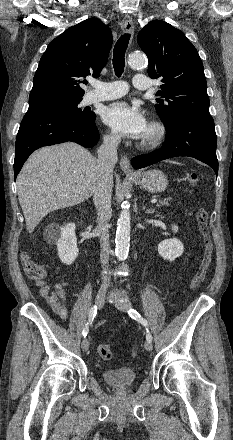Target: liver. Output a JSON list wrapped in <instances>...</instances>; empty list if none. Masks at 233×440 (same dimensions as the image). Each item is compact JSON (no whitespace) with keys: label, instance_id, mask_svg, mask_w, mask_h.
I'll return each mask as SVG.
<instances>
[{"label":"liver","instance_id":"obj_1","mask_svg":"<svg viewBox=\"0 0 233 440\" xmlns=\"http://www.w3.org/2000/svg\"><path fill=\"white\" fill-rule=\"evenodd\" d=\"M97 176V159L76 143L43 147L32 153L17 177L27 231L32 233L48 213L91 197Z\"/></svg>","mask_w":233,"mask_h":440}]
</instances>
